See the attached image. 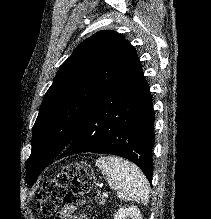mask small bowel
Here are the masks:
<instances>
[{"label": "small bowel", "instance_id": "1", "mask_svg": "<svg viewBox=\"0 0 211 219\" xmlns=\"http://www.w3.org/2000/svg\"><path fill=\"white\" fill-rule=\"evenodd\" d=\"M55 219H81V218L75 216L73 207L67 206L58 212Z\"/></svg>", "mask_w": 211, "mask_h": 219}]
</instances>
